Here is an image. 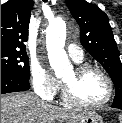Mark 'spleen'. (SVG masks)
I'll use <instances>...</instances> for the list:
<instances>
[{
  "label": "spleen",
  "instance_id": "obj_1",
  "mask_svg": "<svg viewBox=\"0 0 122 123\" xmlns=\"http://www.w3.org/2000/svg\"><path fill=\"white\" fill-rule=\"evenodd\" d=\"M120 123H122V115H119Z\"/></svg>",
  "mask_w": 122,
  "mask_h": 123
}]
</instances>
